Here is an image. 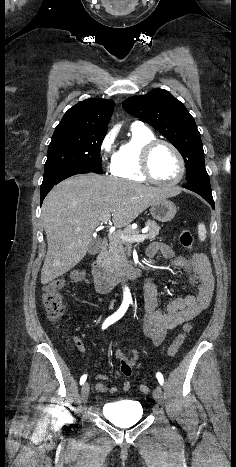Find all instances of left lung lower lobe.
I'll return each instance as SVG.
<instances>
[{
	"label": "left lung lower lobe",
	"mask_w": 236,
	"mask_h": 467,
	"mask_svg": "<svg viewBox=\"0 0 236 467\" xmlns=\"http://www.w3.org/2000/svg\"><path fill=\"white\" fill-rule=\"evenodd\" d=\"M183 187L202 196L214 209V200L212 197L209 177L187 182Z\"/></svg>",
	"instance_id": "1"
}]
</instances>
